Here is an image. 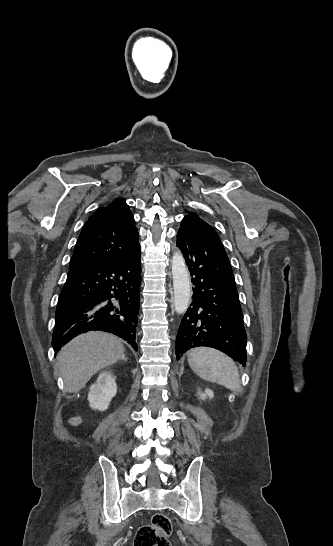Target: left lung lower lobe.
I'll return each mask as SVG.
<instances>
[{
    "label": "left lung lower lobe",
    "instance_id": "obj_1",
    "mask_svg": "<svg viewBox=\"0 0 333 546\" xmlns=\"http://www.w3.org/2000/svg\"><path fill=\"white\" fill-rule=\"evenodd\" d=\"M177 247L182 250L195 286L192 303L177 334V359L192 347L208 346L244 365L247 336L233 272L222 243L184 220L177 233Z\"/></svg>",
    "mask_w": 333,
    "mask_h": 546
}]
</instances>
